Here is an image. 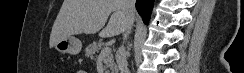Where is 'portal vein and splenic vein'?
I'll return each instance as SVG.
<instances>
[{"mask_svg":"<svg viewBox=\"0 0 244 73\" xmlns=\"http://www.w3.org/2000/svg\"><path fill=\"white\" fill-rule=\"evenodd\" d=\"M110 51H111V49H110L109 47H104V48L101 50L100 55H102V56H106Z\"/></svg>","mask_w":244,"mask_h":73,"instance_id":"obj_1","label":"portal vein and splenic vein"}]
</instances>
